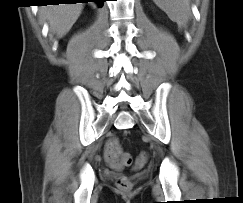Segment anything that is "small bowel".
<instances>
[{"instance_id": "obj_1", "label": "small bowel", "mask_w": 243, "mask_h": 203, "mask_svg": "<svg viewBox=\"0 0 243 203\" xmlns=\"http://www.w3.org/2000/svg\"><path fill=\"white\" fill-rule=\"evenodd\" d=\"M120 151L119 143L116 139L109 140L104 148V157L109 166L115 170H120L124 165L118 161V153ZM138 165V162L136 163Z\"/></svg>"}]
</instances>
